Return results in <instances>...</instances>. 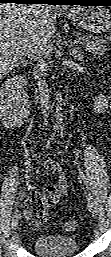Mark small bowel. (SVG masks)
I'll return each instance as SVG.
<instances>
[{
  "label": "small bowel",
  "instance_id": "1",
  "mask_svg": "<svg viewBox=\"0 0 111 257\" xmlns=\"http://www.w3.org/2000/svg\"><path fill=\"white\" fill-rule=\"evenodd\" d=\"M45 169L57 174L58 179L55 183L46 184L43 194L34 193L26 202L24 217L33 228H38L45 222L47 210L59 201L68 187L65 174L56 161L48 160Z\"/></svg>",
  "mask_w": 111,
  "mask_h": 257
}]
</instances>
